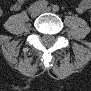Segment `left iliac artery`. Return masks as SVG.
I'll return each instance as SVG.
<instances>
[{
    "mask_svg": "<svg viewBox=\"0 0 91 91\" xmlns=\"http://www.w3.org/2000/svg\"><path fill=\"white\" fill-rule=\"evenodd\" d=\"M53 11L58 12L59 11V6L58 5H54L53 6Z\"/></svg>",
    "mask_w": 91,
    "mask_h": 91,
    "instance_id": "1",
    "label": "left iliac artery"
}]
</instances>
